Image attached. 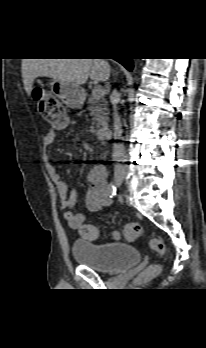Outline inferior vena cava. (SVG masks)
<instances>
[{"label": "inferior vena cava", "instance_id": "1", "mask_svg": "<svg viewBox=\"0 0 206 348\" xmlns=\"http://www.w3.org/2000/svg\"><path fill=\"white\" fill-rule=\"evenodd\" d=\"M114 111V139H121V121L117 112V104L120 102V93L114 89L110 96ZM125 147L122 143H116L113 146V158L115 161H121L124 157Z\"/></svg>", "mask_w": 206, "mask_h": 348}]
</instances>
